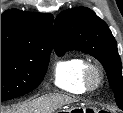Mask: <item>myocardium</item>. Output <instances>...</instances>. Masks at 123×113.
I'll return each mask as SVG.
<instances>
[{
  "label": "myocardium",
  "mask_w": 123,
  "mask_h": 113,
  "mask_svg": "<svg viewBox=\"0 0 123 113\" xmlns=\"http://www.w3.org/2000/svg\"><path fill=\"white\" fill-rule=\"evenodd\" d=\"M83 80L87 89L96 90L103 82L100 66L93 62L86 63L83 69Z\"/></svg>",
  "instance_id": "1"
}]
</instances>
